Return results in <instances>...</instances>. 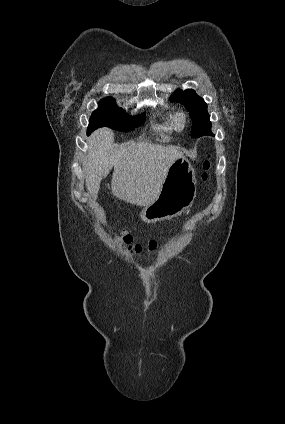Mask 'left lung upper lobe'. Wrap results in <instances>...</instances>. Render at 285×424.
Wrapping results in <instances>:
<instances>
[{"instance_id": "left-lung-upper-lobe-1", "label": "left lung upper lobe", "mask_w": 285, "mask_h": 424, "mask_svg": "<svg viewBox=\"0 0 285 424\" xmlns=\"http://www.w3.org/2000/svg\"><path fill=\"white\" fill-rule=\"evenodd\" d=\"M170 100L172 102H180L185 105L191 116L193 126L191 136L199 138L203 135H212L210 115L207 112V104L199 97L194 90L175 91Z\"/></svg>"}]
</instances>
